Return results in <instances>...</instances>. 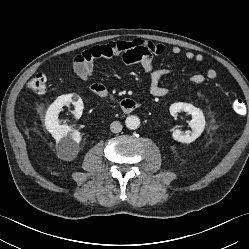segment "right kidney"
<instances>
[{"label":"right kidney","instance_id":"ca27d5eb","mask_svg":"<svg viewBox=\"0 0 249 249\" xmlns=\"http://www.w3.org/2000/svg\"><path fill=\"white\" fill-rule=\"evenodd\" d=\"M72 103L75 107L74 115L80 118L83 112V102L77 94H66L59 96L47 109L45 126L47 131L57 141V151L65 160H73L79 152L81 141L80 132L72 126L60 125L58 115L64 105Z\"/></svg>","mask_w":249,"mask_h":249}]
</instances>
